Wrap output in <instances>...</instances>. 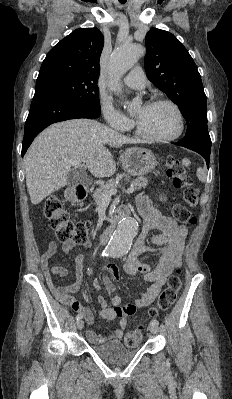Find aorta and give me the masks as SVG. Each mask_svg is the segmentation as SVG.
I'll return each mask as SVG.
<instances>
[{
  "mask_svg": "<svg viewBox=\"0 0 232 399\" xmlns=\"http://www.w3.org/2000/svg\"><path fill=\"white\" fill-rule=\"evenodd\" d=\"M145 50L140 45H124L117 47L109 60L110 89L121 94L119 81L121 77L138 61ZM138 232V223L134 218L126 217L122 219L105 248V253L112 257L123 256L128 253L132 239Z\"/></svg>",
  "mask_w": 232,
  "mask_h": 399,
  "instance_id": "762f6f07",
  "label": "aorta"
}]
</instances>
